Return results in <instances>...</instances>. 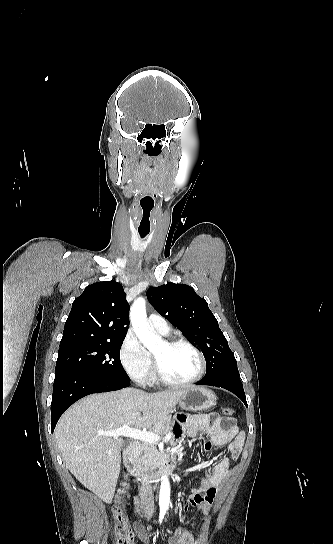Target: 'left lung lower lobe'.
<instances>
[{
  "label": "left lung lower lobe",
  "instance_id": "obj_1",
  "mask_svg": "<svg viewBox=\"0 0 333 544\" xmlns=\"http://www.w3.org/2000/svg\"><path fill=\"white\" fill-rule=\"evenodd\" d=\"M197 385H210L224 388L228 391H231L236 396H238L243 403L247 405L246 396L244 393L242 382L239 378V375L236 374H221L211 378H203L201 381L196 383Z\"/></svg>",
  "mask_w": 333,
  "mask_h": 544
}]
</instances>
